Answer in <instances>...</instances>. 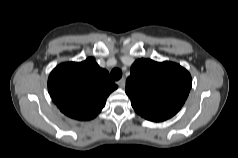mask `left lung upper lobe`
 I'll list each match as a JSON object with an SVG mask.
<instances>
[{
    "instance_id": "5c2ea615",
    "label": "left lung upper lobe",
    "mask_w": 238,
    "mask_h": 158,
    "mask_svg": "<svg viewBox=\"0 0 238 158\" xmlns=\"http://www.w3.org/2000/svg\"><path fill=\"white\" fill-rule=\"evenodd\" d=\"M126 93L134 110L147 120L161 122L174 116L191 89V76L180 65L139 59L131 66Z\"/></svg>"
}]
</instances>
